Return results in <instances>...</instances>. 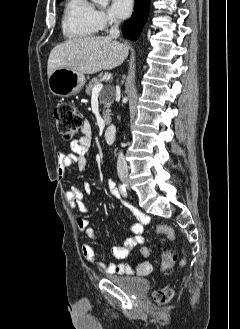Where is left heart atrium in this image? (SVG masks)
Returning <instances> with one entry per match:
<instances>
[{
  "mask_svg": "<svg viewBox=\"0 0 240 329\" xmlns=\"http://www.w3.org/2000/svg\"><path fill=\"white\" fill-rule=\"evenodd\" d=\"M134 0H112L111 12L117 18H126L132 10Z\"/></svg>",
  "mask_w": 240,
  "mask_h": 329,
  "instance_id": "1",
  "label": "left heart atrium"
}]
</instances>
